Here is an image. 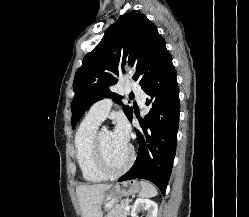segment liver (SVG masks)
Here are the masks:
<instances>
[{
  "label": "liver",
  "mask_w": 249,
  "mask_h": 217,
  "mask_svg": "<svg viewBox=\"0 0 249 217\" xmlns=\"http://www.w3.org/2000/svg\"><path fill=\"white\" fill-rule=\"evenodd\" d=\"M112 185H81L76 188L82 217H102L101 205L105 192Z\"/></svg>",
  "instance_id": "6515ba94"
}]
</instances>
